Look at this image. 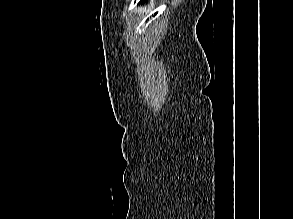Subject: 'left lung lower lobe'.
<instances>
[{
  "label": "left lung lower lobe",
  "mask_w": 293,
  "mask_h": 219,
  "mask_svg": "<svg viewBox=\"0 0 293 219\" xmlns=\"http://www.w3.org/2000/svg\"><path fill=\"white\" fill-rule=\"evenodd\" d=\"M144 1H146V0H141V2H144Z\"/></svg>",
  "instance_id": "left-lung-lower-lobe-1"
}]
</instances>
